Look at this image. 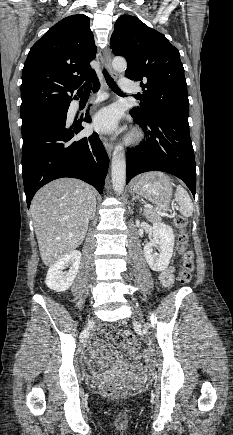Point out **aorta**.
Instances as JSON below:
<instances>
[{
    "mask_svg": "<svg viewBox=\"0 0 233 435\" xmlns=\"http://www.w3.org/2000/svg\"><path fill=\"white\" fill-rule=\"evenodd\" d=\"M112 66L116 71L123 72L127 68V62L123 58H115L112 62ZM111 175L115 192L121 194L126 182V159L121 144L117 145L113 152Z\"/></svg>",
    "mask_w": 233,
    "mask_h": 435,
    "instance_id": "aorta-1",
    "label": "aorta"
}]
</instances>
